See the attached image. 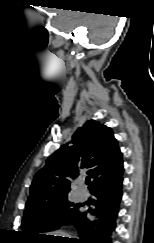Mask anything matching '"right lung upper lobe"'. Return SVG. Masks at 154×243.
Returning <instances> with one entry per match:
<instances>
[{
	"instance_id": "right-lung-upper-lobe-1",
	"label": "right lung upper lobe",
	"mask_w": 154,
	"mask_h": 243,
	"mask_svg": "<svg viewBox=\"0 0 154 243\" xmlns=\"http://www.w3.org/2000/svg\"><path fill=\"white\" fill-rule=\"evenodd\" d=\"M73 146L63 145L35 175L26 208L67 196L71 180L86 169L93 179L109 176L123 164L112 130L94 120L87 121L73 135Z\"/></svg>"
}]
</instances>
